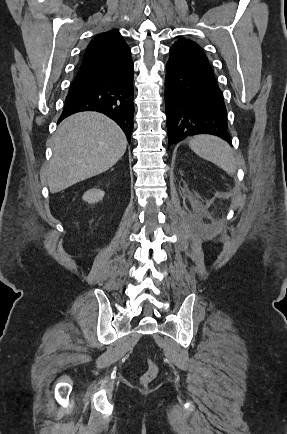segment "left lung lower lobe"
<instances>
[{
    "instance_id": "1",
    "label": "left lung lower lobe",
    "mask_w": 287,
    "mask_h": 434,
    "mask_svg": "<svg viewBox=\"0 0 287 434\" xmlns=\"http://www.w3.org/2000/svg\"><path fill=\"white\" fill-rule=\"evenodd\" d=\"M165 109L168 147L196 134L216 135L231 144L223 94L208 61L170 53Z\"/></svg>"
}]
</instances>
